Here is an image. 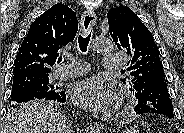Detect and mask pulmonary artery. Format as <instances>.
I'll return each instance as SVG.
<instances>
[{
    "label": "pulmonary artery",
    "instance_id": "1",
    "mask_svg": "<svg viewBox=\"0 0 184 133\" xmlns=\"http://www.w3.org/2000/svg\"><path fill=\"white\" fill-rule=\"evenodd\" d=\"M125 64V57L121 54H109L104 56V70H119ZM88 71V65L82 60L72 59V63L66 67H62L54 71L53 79L57 81L65 80L84 74Z\"/></svg>",
    "mask_w": 184,
    "mask_h": 133
}]
</instances>
